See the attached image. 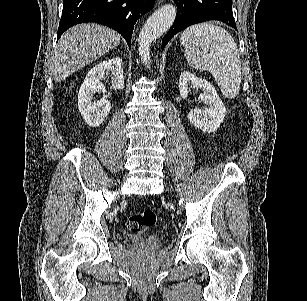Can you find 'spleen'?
I'll return each instance as SVG.
<instances>
[{
    "label": "spleen",
    "mask_w": 307,
    "mask_h": 301,
    "mask_svg": "<svg viewBox=\"0 0 307 301\" xmlns=\"http://www.w3.org/2000/svg\"><path fill=\"white\" fill-rule=\"evenodd\" d=\"M180 42L192 68L209 70L225 98L237 96L242 76L241 60L228 30L210 22H200L185 28Z\"/></svg>",
    "instance_id": "obj_1"
}]
</instances>
